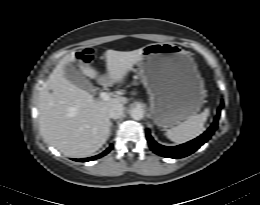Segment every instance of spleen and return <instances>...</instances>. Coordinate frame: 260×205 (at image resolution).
Listing matches in <instances>:
<instances>
[{"instance_id":"spleen-1","label":"spleen","mask_w":260,"mask_h":205,"mask_svg":"<svg viewBox=\"0 0 260 205\" xmlns=\"http://www.w3.org/2000/svg\"><path fill=\"white\" fill-rule=\"evenodd\" d=\"M209 113V109L206 108L202 113L194 115L178 126L173 127L166 132L167 138L178 144L196 138L203 132Z\"/></svg>"}]
</instances>
